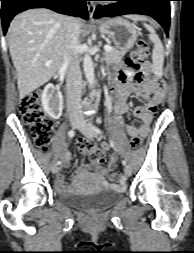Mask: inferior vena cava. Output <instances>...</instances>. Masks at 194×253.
Wrapping results in <instances>:
<instances>
[{"mask_svg": "<svg viewBox=\"0 0 194 253\" xmlns=\"http://www.w3.org/2000/svg\"><path fill=\"white\" fill-rule=\"evenodd\" d=\"M64 28L63 64L66 67L67 109L70 119L82 120L80 106L82 94V73L79 58L80 28L74 17H66Z\"/></svg>", "mask_w": 194, "mask_h": 253, "instance_id": "inferior-vena-cava-1", "label": "inferior vena cava"}]
</instances>
